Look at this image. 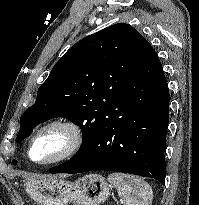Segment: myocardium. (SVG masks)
<instances>
[{
  "label": "myocardium",
  "instance_id": "1",
  "mask_svg": "<svg viewBox=\"0 0 199 205\" xmlns=\"http://www.w3.org/2000/svg\"><path fill=\"white\" fill-rule=\"evenodd\" d=\"M60 130L65 135V144L62 150L52 158L36 161L32 157V150L36 140L50 130ZM84 143V132L82 127L74 120L67 118L52 119L42 125L31 137L28 144L29 159L39 165H52L65 161L79 152Z\"/></svg>",
  "mask_w": 199,
  "mask_h": 205
}]
</instances>
